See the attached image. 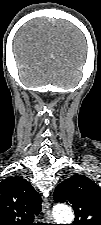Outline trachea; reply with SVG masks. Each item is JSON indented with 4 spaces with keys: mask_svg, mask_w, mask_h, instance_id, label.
<instances>
[{
    "mask_svg": "<svg viewBox=\"0 0 101 225\" xmlns=\"http://www.w3.org/2000/svg\"><path fill=\"white\" fill-rule=\"evenodd\" d=\"M37 225H43V224H40V222H38V224Z\"/></svg>",
    "mask_w": 101,
    "mask_h": 225,
    "instance_id": "obj_1",
    "label": "trachea"
}]
</instances>
